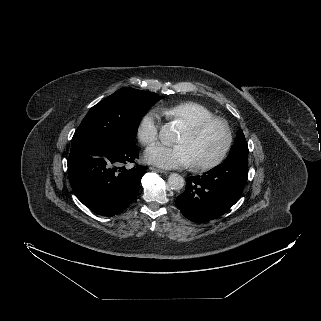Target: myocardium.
<instances>
[{
  "mask_svg": "<svg viewBox=\"0 0 321 321\" xmlns=\"http://www.w3.org/2000/svg\"><path fill=\"white\" fill-rule=\"evenodd\" d=\"M215 123L221 125L222 128L224 129V132H225L224 144L220 152L212 160H209L206 162H200V163H193L191 165L193 170L204 171V170H209L218 166L226 158V156L228 155L231 149V146L233 143V133L228 121L218 116H212L209 118L199 120L184 128L188 133L192 135H197L201 131H203L207 126Z\"/></svg>",
  "mask_w": 321,
  "mask_h": 321,
  "instance_id": "myocardium-1",
  "label": "myocardium"
}]
</instances>
